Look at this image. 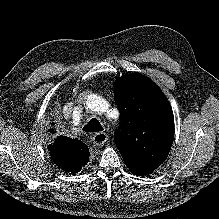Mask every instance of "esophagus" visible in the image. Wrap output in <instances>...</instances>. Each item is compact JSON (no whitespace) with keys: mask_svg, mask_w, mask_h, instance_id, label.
<instances>
[{"mask_svg":"<svg viewBox=\"0 0 219 219\" xmlns=\"http://www.w3.org/2000/svg\"><path fill=\"white\" fill-rule=\"evenodd\" d=\"M108 140V135L104 132H98L93 136V142L97 146H103Z\"/></svg>","mask_w":219,"mask_h":219,"instance_id":"1","label":"esophagus"}]
</instances>
